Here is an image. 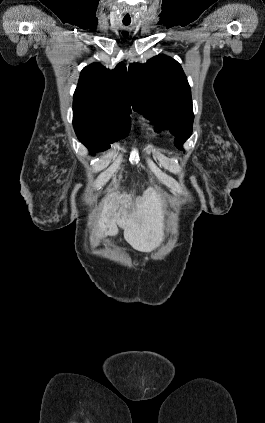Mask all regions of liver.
<instances>
[{
    "label": "liver",
    "instance_id": "obj_1",
    "mask_svg": "<svg viewBox=\"0 0 265 423\" xmlns=\"http://www.w3.org/2000/svg\"><path fill=\"white\" fill-rule=\"evenodd\" d=\"M130 197L110 193L103 199L94 244L100 238L114 236L118 226L124 230L125 240L137 251L151 252L163 242V212L158 195L137 200V214L131 217L126 208Z\"/></svg>",
    "mask_w": 265,
    "mask_h": 423
}]
</instances>
